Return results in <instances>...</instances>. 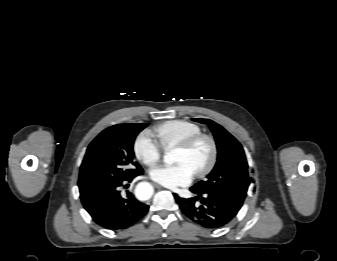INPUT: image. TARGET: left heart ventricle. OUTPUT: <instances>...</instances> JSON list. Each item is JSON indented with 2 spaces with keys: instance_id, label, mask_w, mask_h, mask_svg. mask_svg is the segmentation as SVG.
I'll return each instance as SVG.
<instances>
[{
  "instance_id": "obj_1",
  "label": "left heart ventricle",
  "mask_w": 337,
  "mask_h": 261,
  "mask_svg": "<svg viewBox=\"0 0 337 261\" xmlns=\"http://www.w3.org/2000/svg\"><path fill=\"white\" fill-rule=\"evenodd\" d=\"M210 155V145L208 142L203 141L190 151L177 149L174 162L186 164L193 172H195L206 166L210 159Z\"/></svg>"
}]
</instances>
